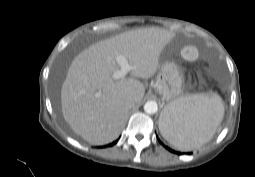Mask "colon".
Instances as JSON below:
<instances>
[{"mask_svg": "<svg viewBox=\"0 0 255 177\" xmlns=\"http://www.w3.org/2000/svg\"><path fill=\"white\" fill-rule=\"evenodd\" d=\"M183 55L188 60H195L198 58V52L193 47H187L183 51Z\"/></svg>", "mask_w": 255, "mask_h": 177, "instance_id": "1", "label": "colon"}]
</instances>
